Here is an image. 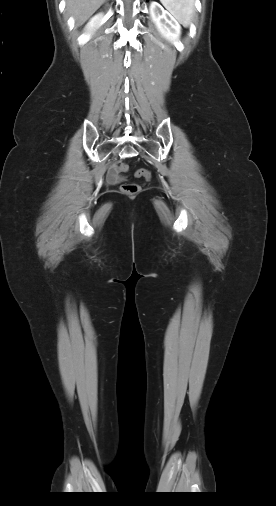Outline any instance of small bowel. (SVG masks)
<instances>
[{
    "label": "small bowel",
    "instance_id": "1",
    "mask_svg": "<svg viewBox=\"0 0 276 506\" xmlns=\"http://www.w3.org/2000/svg\"><path fill=\"white\" fill-rule=\"evenodd\" d=\"M107 178L110 182H119L120 181V177H119L118 172L115 167H112L109 169Z\"/></svg>",
    "mask_w": 276,
    "mask_h": 506
}]
</instances>
